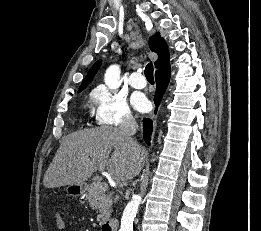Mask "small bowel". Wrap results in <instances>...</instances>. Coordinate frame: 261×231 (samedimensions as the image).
<instances>
[{
  "label": "small bowel",
  "mask_w": 261,
  "mask_h": 231,
  "mask_svg": "<svg viewBox=\"0 0 261 231\" xmlns=\"http://www.w3.org/2000/svg\"><path fill=\"white\" fill-rule=\"evenodd\" d=\"M55 223H56V226L59 230L63 231L65 229V222L60 215L55 217Z\"/></svg>",
  "instance_id": "1"
}]
</instances>
